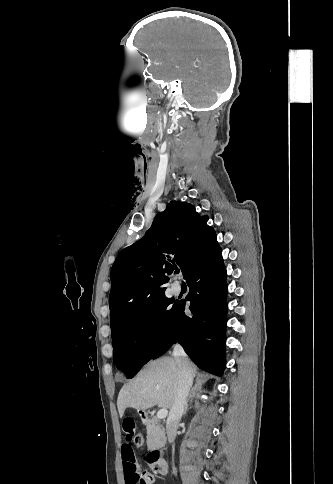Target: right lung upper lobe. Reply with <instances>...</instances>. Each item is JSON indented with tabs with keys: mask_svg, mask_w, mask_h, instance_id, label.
I'll return each instance as SVG.
<instances>
[{
	"mask_svg": "<svg viewBox=\"0 0 333 484\" xmlns=\"http://www.w3.org/2000/svg\"><path fill=\"white\" fill-rule=\"evenodd\" d=\"M207 220L193 205L171 201L145 236L119 253L111 270L112 331L136 309L165 295L166 273L179 266L187 280L212 256L219 246Z\"/></svg>",
	"mask_w": 333,
	"mask_h": 484,
	"instance_id": "right-lung-upper-lobe-1",
	"label": "right lung upper lobe"
}]
</instances>
